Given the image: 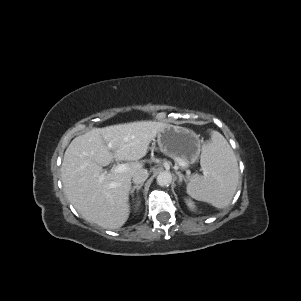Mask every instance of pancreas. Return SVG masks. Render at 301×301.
<instances>
[{"mask_svg": "<svg viewBox=\"0 0 301 301\" xmlns=\"http://www.w3.org/2000/svg\"><path fill=\"white\" fill-rule=\"evenodd\" d=\"M176 161H177L178 164L181 165V166H187V163H186L184 160H182V159H179V158H178Z\"/></svg>", "mask_w": 301, "mask_h": 301, "instance_id": "1", "label": "pancreas"}]
</instances>
